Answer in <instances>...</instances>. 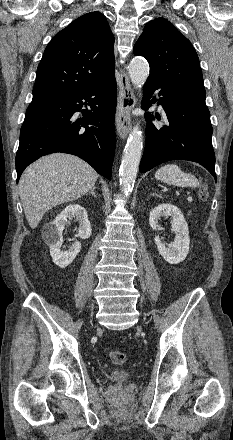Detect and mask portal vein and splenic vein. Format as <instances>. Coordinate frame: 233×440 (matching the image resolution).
<instances>
[{"label": "portal vein and splenic vein", "instance_id": "obj_1", "mask_svg": "<svg viewBox=\"0 0 233 440\" xmlns=\"http://www.w3.org/2000/svg\"><path fill=\"white\" fill-rule=\"evenodd\" d=\"M176 195H179V191H176Z\"/></svg>", "mask_w": 233, "mask_h": 440}]
</instances>
